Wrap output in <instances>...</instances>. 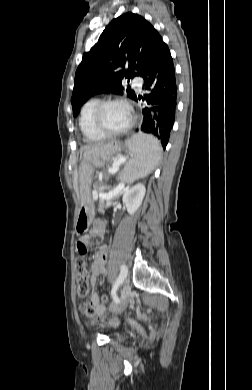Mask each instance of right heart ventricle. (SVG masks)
Returning a JSON list of instances; mask_svg holds the SVG:
<instances>
[{"label": "right heart ventricle", "instance_id": "e07e8e85", "mask_svg": "<svg viewBox=\"0 0 252 390\" xmlns=\"http://www.w3.org/2000/svg\"><path fill=\"white\" fill-rule=\"evenodd\" d=\"M99 99L91 98L84 103L80 112L79 127L87 142L95 143L105 139V136L97 131L93 124V111L99 103Z\"/></svg>", "mask_w": 252, "mask_h": 390}]
</instances>
